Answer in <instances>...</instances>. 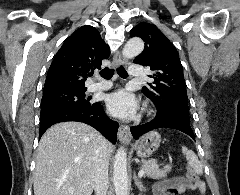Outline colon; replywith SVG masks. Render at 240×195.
<instances>
[{
	"mask_svg": "<svg viewBox=\"0 0 240 195\" xmlns=\"http://www.w3.org/2000/svg\"><path fill=\"white\" fill-rule=\"evenodd\" d=\"M186 177L193 180V185L202 187V180H198V174L194 170H191V166H186Z\"/></svg>",
	"mask_w": 240,
	"mask_h": 195,
	"instance_id": "5ec220e1",
	"label": "colon"
}]
</instances>
